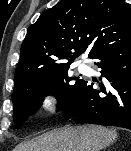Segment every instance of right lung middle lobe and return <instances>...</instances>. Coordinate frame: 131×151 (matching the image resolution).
<instances>
[{
  "label": "right lung middle lobe",
  "mask_w": 131,
  "mask_h": 151,
  "mask_svg": "<svg viewBox=\"0 0 131 151\" xmlns=\"http://www.w3.org/2000/svg\"><path fill=\"white\" fill-rule=\"evenodd\" d=\"M69 66L42 74L35 80L14 89L13 120L17 126L42 104L44 97L54 94L58 98L57 109L61 110L72 98L82 79L68 76Z\"/></svg>",
  "instance_id": "obj_1"
}]
</instances>
